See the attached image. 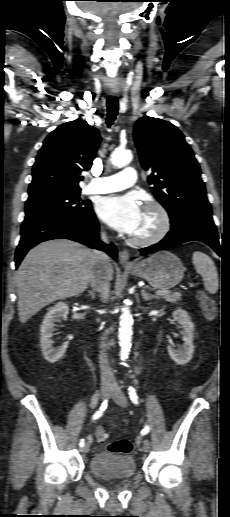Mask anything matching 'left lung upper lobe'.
<instances>
[{
  "mask_svg": "<svg viewBox=\"0 0 230 517\" xmlns=\"http://www.w3.org/2000/svg\"><path fill=\"white\" fill-rule=\"evenodd\" d=\"M140 162L151 191L169 213L171 228L212 216L199 163L182 132L168 121L140 118L134 127Z\"/></svg>",
  "mask_w": 230,
  "mask_h": 517,
  "instance_id": "left-lung-upper-lobe-1",
  "label": "left lung upper lobe"
}]
</instances>
